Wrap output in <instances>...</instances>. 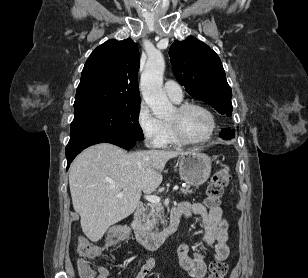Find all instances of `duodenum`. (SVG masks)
<instances>
[{"label":"duodenum","mask_w":308,"mask_h":278,"mask_svg":"<svg viewBox=\"0 0 308 278\" xmlns=\"http://www.w3.org/2000/svg\"><path fill=\"white\" fill-rule=\"evenodd\" d=\"M143 210V204H138L136 206L132 215L131 230L140 244L150 249H156L176 231L179 223V216L173 209L170 213L168 225L160 232L151 233L144 231L140 226L139 218Z\"/></svg>","instance_id":"1"}]
</instances>
